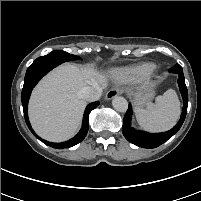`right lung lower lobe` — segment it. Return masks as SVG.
<instances>
[{
    "instance_id": "obj_1",
    "label": "right lung lower lobe",
    "mask_w": 201,
    "mask_h": 201,
    "mask_svg": "<svg viewBox=\"0 0 201 201\" xmlns=\"http://www.w3.org/2000/svg\"><path fill=\"white\" fill-rule=\"evenodd\" d=\"M63 62H66V59L59 58L58 56L46 55V56L37 58L27 69L25 80H24V86L22 89V105H23V111H24L26 124L32 133H34V131L32 130V127L30 125V122L27 116V106H28L29 97L31 95V91L33 87L38 83V81L46 73H48L51 69H53L54 67L58 66L59 64ZM98 105H99L98 101L87 105L84 112V116H83V123H82L81 130L72 139L66 142H62V143L48 142L38 137L35 133L34 135L43 143L53 148L64 149V148L72 147L78 144L79 142H81L85 138L89 128V123H88L89 113Z\"/></svg>"
}]
</instances>
